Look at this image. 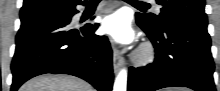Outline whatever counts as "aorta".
<instances>
[{
  "mask_svg": "<svg viewBox=\"0 0 220 91\" xmlns=\"http://www.w3.org/2000/svg\"><path fill=\"white\" fill-rule=\"evenodd\" d=\"M127 90V70L122 69L114 82L113 91H126Z\"/></svg>",
  "mask_w": 220,
  "mask_h": 91,
  "instance_id": "762f6f07",
  "label": "aorta"
}]
</instances>
